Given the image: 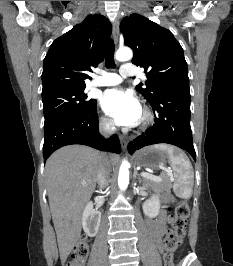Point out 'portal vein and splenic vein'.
<instances>
[{
	"instance_id": "18ae733b",
	"label": "portal vein and splenic vein",
	"mask_w": 233,
	"mask_h": 266,
	"mask_svg": "<svg viewBox=\"0 0 233 266\" xmlns=\"http://www.w3.org/2000/svg\"><path fill=\"white\" fill-rule=\"evenodd\" d=\"M166 171H167L168 175H172V172L170 170H166ZM141 176L144 178L150 179L152 181H155V182H160L163 180L160 176H155V175H152V174L146 173V172H142ZM82 184L84 185L85 183H82Z\"/></svg>"
}]
</instances>
